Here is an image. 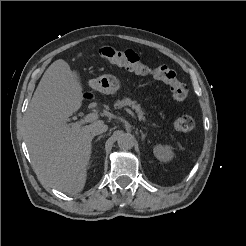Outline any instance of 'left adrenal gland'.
<instances>
[{"instance_id": "left-adrenal-gland-1", "label": "left adrenal gland", "mask_w": 246, "mask_h": 246, "mask_svg": "<svg viewBox=\"0 0 246 246\" xmlns=\"http://www.w3.org/2000/svg\"><path fill=\"white\" fill-rule=\"evenodd\" d=\"M140 133H141V136H142V141H144V140H145V138H146V135L143 133V131H142V130H140Z\"/></svg>"}]
</instances>
